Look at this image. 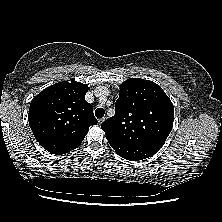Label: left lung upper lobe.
Instances as JSON below:
<instances>
[{
    "mask_svg": "<svg viewBox=\"0 0 222 222\" xmlns=\"http://www.w3.org/2000/svg\"><path fill=\"white\" fill-rule=\"evenodd\" d=\"M174 107L156 83L130 78L120 86L115 115L101 128L107 140L161 148L171 132Z\"/></svg>",
    "mask_w": 222,
    "mask_h": 222,
    "instance_id": "5c2ea615",
    "label": "left lung upper lobe"
}]
</instances>
